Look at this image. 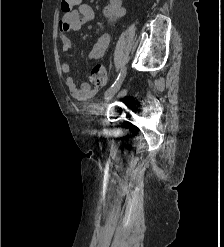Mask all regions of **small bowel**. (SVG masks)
<instances>
[{
    "instance_id": "c3829d8e",
    "label": "small bowel",
    "mask_w": 224,
    "mask_h": 247,
    "mask_svg": "<svg viewBox=\"0 0 224 247\" xmlns=\"http://www.w3.org/2000/svg\"><path fill=\"white\" fill-rule=\"evenodd\" d=\"M103 14L111 23L124 17L126 9L123 6L122 0H109L103 10ZM94 18V10L88 4H80L78 8L63 15L59 24V36L61 40V50L63 52H68L72 47V42L68 33L79 31L84 24L93 21ZM109 43L110 37L108 34L105 33L99 36L88 52V59L91 61L100 59ZM70 70L71 68L68 63H63L61 65V71L64 74H69ZM65 83L71 96L78 100L89 99L97 92V87L91 86L89 83H83L80 86H77L71 76L66 77Z\"/></svg>"
}]
</instances>
